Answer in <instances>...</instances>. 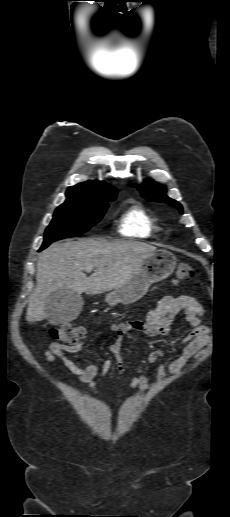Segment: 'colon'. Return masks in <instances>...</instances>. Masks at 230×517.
<instances>
[{
  "label": "colon",
  "instance_id": "obj_1",
  "mask_svg": "<svg viewBox=\"0 0 230 517\" xmlns=\"http://www.w3.org/2000/svg\"><path fill=\"white\" fill-rule=\"evenodd\" d=\"M194 269L188 264H180L177 269L176 277L178 280H190L194 277ZM86 334L84 327L71 323L62 324L50 330L53 339L64 343L74 344L82 339Z\"/></svg>",
  "mask_w": 230,
  "mask_h": 517
}]
</instances>
